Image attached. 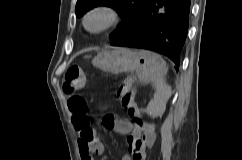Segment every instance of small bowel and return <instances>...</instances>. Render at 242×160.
Listing matches in <instances>:
<instances>
[{"mask_svg": "<svg viewBox=\"0 0 242 160\" xmlns=\"http://www.w3.org/2000/svg\"><path fill=\"white\" fill-rule=\"evenodd\" d=\"M71 116L73 126L79 133L78 145L82 160H94L95 154L103 155L104 146L96 137L95 132L93 131V138L85 139L82 136V132L89 128H80L72 113ZM102 123L108 131L128 135L127 142L130 154L123 156L122 160H145L146 150L154 139V131L151 124L143 123L142 121L138 122L137 120L120 119L113 115L105 116Z\"/></svg>", "mask_w": 242, "mask_h": 160, "instance_id": "c3829d8e", "label": "small bowel"}]
</instances>
